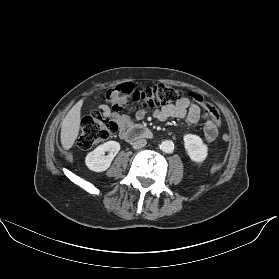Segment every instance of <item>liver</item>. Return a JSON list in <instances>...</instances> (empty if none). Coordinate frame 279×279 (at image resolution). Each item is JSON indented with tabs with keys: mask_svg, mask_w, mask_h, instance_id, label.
<instances>
[{
	"mask_svg": "<svg viewBox=\"0 0 279 279\" xmlns=\"http://www.w3.org/2000/svg\"><path fill=\"white\" fill-rule=\"evenodd\" d=\"M83 101V99L79 100L69 110L61 123L60 139L64 150H69L73 146L79 134Z\"/></svg>",
	"mask_w": 279,
	"mask_h": 279,
	"instance_id": "liver-1",
	"label": "liver"
}]
</instances>
